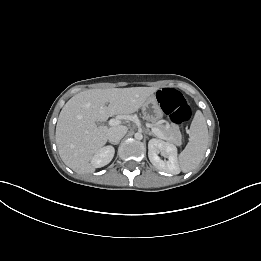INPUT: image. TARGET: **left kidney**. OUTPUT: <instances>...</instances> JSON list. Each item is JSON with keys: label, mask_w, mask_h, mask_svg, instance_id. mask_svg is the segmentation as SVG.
Segmentation results:
<instances>
[{"label": "left kidney", "mask_w": 261, "mask_h": 261, "mask_svg": "<svg viewBox=\"0 0 261 261\" xmlns=\"http://www.w3.org/2000/svg\"><path fill=\"white\" fill-rule=\"evenodd\" d=\"M162 153L168 160H162L158 154ZM148 157L153 166L170 174H178L180 168L177 159V148L173 144L160 139H151L148 143Z\"/></svg>", "instance_id": "5707ae66"}]
</instances>
